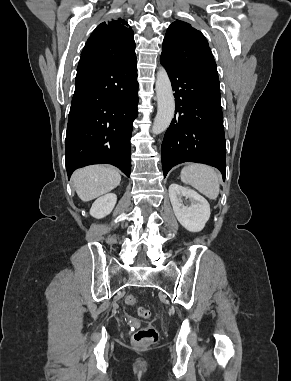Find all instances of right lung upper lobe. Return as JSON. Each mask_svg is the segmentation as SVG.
<instances>
[{
    "mask_svg": "<svg viewBox=\"0 0 291 381\" xmlns=\"http://www.w3.org/2000/svg\"><path fill=\"white\" fill-rule=\"evenodd\" d=\"M133 31L124 19L99 24L81 53L78 65L114 64L135 55Z\"/></svg>",
    "mask_w": 291,
    "mask_h": 381,
    "instance_id": "1",
    "label": "right lung upper lobe"
}]
</instances>
